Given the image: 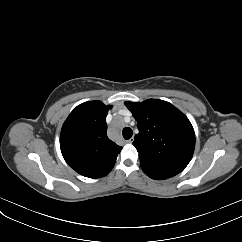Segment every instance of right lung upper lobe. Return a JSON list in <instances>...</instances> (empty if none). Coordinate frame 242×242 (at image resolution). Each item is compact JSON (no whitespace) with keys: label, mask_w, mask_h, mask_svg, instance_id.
Instances as JSON below:
<instances>
[{"label":"right lung upper lobe","mask_w":242,"mask_h":242,"mask_svg":"<svg viewBox=\"0 0 242 242\" xmlns=\"http://www.w3.org/2000/svg\"><path fill=\"white\" fill-rule=\"evenodd\" d=\"M109 108L111 106L97 100L82 103L63 124L60 135L62 155L71 168L85 177L107 175L122 149L107 137Z\"/></svg>","instance_id":"right-lung-upper-lobe-1"}]
</instances>
